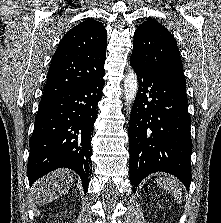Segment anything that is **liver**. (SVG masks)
Listing matches in <instances>:
<instances>
[{
	"instance_id": "1",
	"label": "liver",
	"mask_w": 221,
	"mask_h": 223,
	"mask_svg": "<svg viewBox=\"0 0 221 223\" xmlns=\"http://www.w3.org/2000/svg\"><path fill=\"white\" fill-rule=\"evenodd\" d=\"M73 174L67 169H59L39 180L31 189L35 204L45 205L62 196L70 189Z\"/></svg>"
}]
</instances>
